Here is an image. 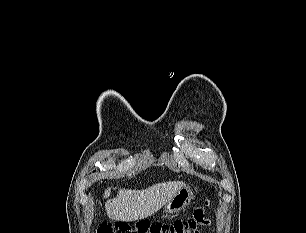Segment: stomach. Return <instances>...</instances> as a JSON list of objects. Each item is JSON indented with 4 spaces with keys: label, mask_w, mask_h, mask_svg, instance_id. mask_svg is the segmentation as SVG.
<instances>
[{
    "label": "stomach",
    "mask_w": 306,
    "mask_h": 233,
    "mask_svg": "<svg viewBox=\"0 0 306 233\" xmlns=\"http://www.w3.org/2000/svg\"><path fill=\"white\" fill-rule=\"evenodd\" d=\"M193 198L191 189L187 186L182 187L172 199L164 205V212L176 213L183 210Z\"/></svg>",
    "instance_id": "stomach-1"
}]
</instances>
